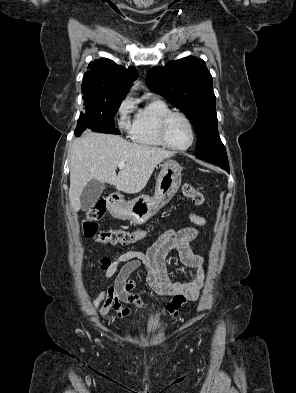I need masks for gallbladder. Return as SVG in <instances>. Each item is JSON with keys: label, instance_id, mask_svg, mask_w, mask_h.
<instances>
[{"label": "gallbladder", "instance_id": "1", "mask_svg": "<svg viewBox=\"0 0 296 393\" xmlns=\"http://www.w3.org/2000/svg\"><path fill=\"white\" fill-rule=\"evenodd\" d=\"M105 189V184L97 180H91L84 187L80 195V205L83 211L91 209L98 201L100 195Z\"/></svg>", "mask_w": 296, "mask_h": 393}]
</instances>
